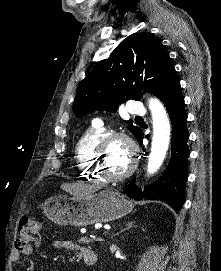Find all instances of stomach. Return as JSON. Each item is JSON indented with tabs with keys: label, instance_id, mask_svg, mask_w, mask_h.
Here are the masks:
<instances>
[{
	"label": "stomach",
	"instance_id": "stomach-1",
	"mask_svg": "<svg viewBox=\"0 0 221 271\" xmlns=\"http://www.w3.org/2000/svg\"><path fill=\"white\" fill-rule=\"evenodd\" d=\"M45 215L59 225H92L106 223L127 215L133 203L115 189H101L78 197H48Z\"/></svg>",
	"mask_w": 221,
	"mask_h": 271
}]
</instances>
